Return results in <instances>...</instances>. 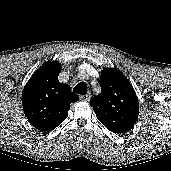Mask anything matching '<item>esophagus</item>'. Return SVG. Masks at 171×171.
<instances>
[{
	"mask_svg": "<svg viewBox=\"0 0 171 171\" xmlns=\"http://www.w3.org/2000/svg\"><path fill=\"white\" fill-rule=\"evenodd\" d=\"M90 98H91L90 94H85V95H80L79 96V99L82 100V101H89Z\"/></svg>",
	"mask_w": 171,
	"mask_h": 171,
	"instance_id": "34e87169",
	"label": "esophagus"
}]
</instances>
